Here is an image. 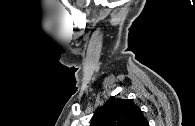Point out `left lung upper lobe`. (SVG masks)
<instances>
[{"mask_svg":"<svg viewBox=\"0 0 195 126\" xmlns=\"http://www.w3.org/2000/svg\"><path fill=\"white\" fill-rule=\"evenodd\" d=\"M142 111L129 99H110L94 114L91 126H145Z\"/></svg>","mask_w":195,"mask_h":126,"instance_id":"obj_1","label":"left lung upper lobe"}]
</instances>
